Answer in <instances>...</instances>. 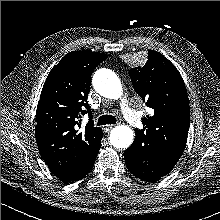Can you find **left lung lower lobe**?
<instances>
[{
    "label": "left lung lower lobe",
    "instance_id": "0a47b994",
    "mask_svg": "<svg viewBox=\"0 0 220 220\" xmlns=\"http://www.w3.org/2000/svg\"><path fill=\"white\" fill-rule=\"evenodd\" d=\"M124 158L128 170L137 178L148 182H155L165 176L178 161L152 146L141 145L137 136L125 150Z\"/></svg>",
    "mask_w": 220,
    "mask_h": 220
}]
</instances>
